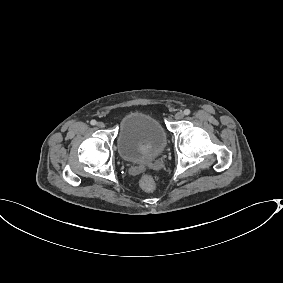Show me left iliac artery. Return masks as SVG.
Instances as JSON below:
<instances>
[{
	"mask_svg": "<svg viewBox=\"0 0 283 283\" xmlns=\"http://www.w3.org/2000/svg\"><path fill=\"white\" fill-rule=\"evenodd\" d=\"M184 114H185V115H189V114H190V110H189V109H185V110H184Z\"/></svg>",
	"mask_w": 283,
	"mask_h": 283,
	"instance_id": "obj_1",
	"label": "left iliac artery"
}]
</instances>
